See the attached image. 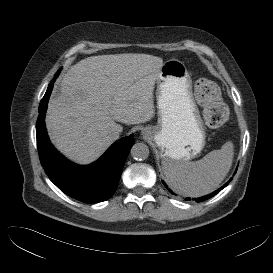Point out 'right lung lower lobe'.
I'll list each match as a JSON object with an SVG mask.
<instances>
[{
    "instance_id": "obj_1",
    "label": "right lung lower lobe",
    "mask_w": 273,
    "mask_h": 273,
    "mask_svg": "<svg viewBox=\"0 0 273 273\" xmlns=\"http://www.w3.org/2000/svg\"><path fill=\"white\" fill-rule=\"evenodd\" d=\"M53 82L40 102L36 123L40 162L49 179L65 194L84 203L105 201L118 186L124 163L134 144L133 134L115 142L91 165L80 166L70 162L53 148L47 135L45 114Z\"/></svg>"
}]
</instances>
